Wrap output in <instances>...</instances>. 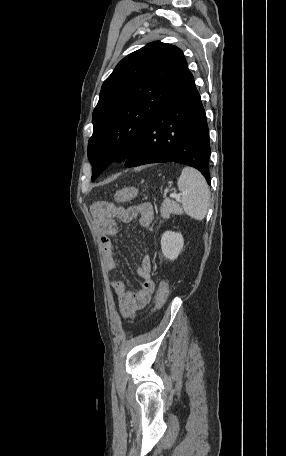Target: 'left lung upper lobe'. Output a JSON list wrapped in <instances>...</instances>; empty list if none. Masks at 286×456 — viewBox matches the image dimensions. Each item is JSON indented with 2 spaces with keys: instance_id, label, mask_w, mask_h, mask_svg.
<instances>
[{
  "instance_id": "left-lung-upper-lobe-1",
  "label": "left lung upper lobe",
  "mask_w": 286,
  "mask_h": 456,
  "mask_svg": "<svg viewBox=\"0 0 286 456\" xmlns=\"http://www.w3.org/2000/svg\"><path fill=\"white\" fill-rule=\"evenodd\" d=\"M189 72L176 46L152 42L123 58L101 87L88 159L92 180L128 158L140 135Z\"/></svg>"
}]
</instances>
